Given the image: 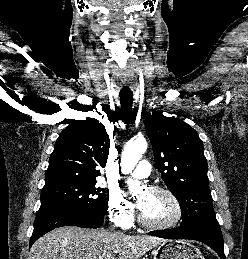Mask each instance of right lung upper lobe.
I'll return each instance as SVG.
<instances>
[{
  "label": "right lung upper lobe",
  "mask_w": 248,
  "mask_h": 259,
  "mask_svg": "<svg viewBox=\"0 0 248 259\" xmlns=\"http://www.w3.org/2000/svg\"><path fill=\"white\" fill-rule=\"evenodd\" d=\"M110 139L96 119L67 126L59 135L49 159L45 184L57 181H90L106 165Z\"/></svg>",
  "instance_id": "obj_1"
}]
</instances>
